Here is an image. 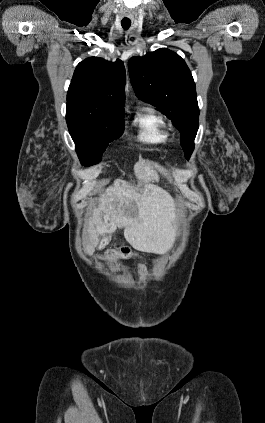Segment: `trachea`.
Here are the masks:
<instances>
[{
	"instance_id": "3493384b",
	"label": "trachea",
	"mask_w": 265,
	"mask_h": 423,
	"mask_svg": "<svg viewBox=\"0 0 265 423\" xmlns=\"http://www.w3.org/2000/svg\"><path fill=\"white\" fill-rule=\"evenodd\" d=\"M121 25H122V28H123L124 30H127V29H129V27L131 26V21H125V20H122V21H121Z\"/></svg>"
}]
</instances>
